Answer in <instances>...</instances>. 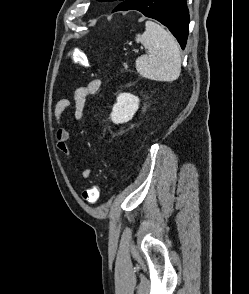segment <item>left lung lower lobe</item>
<instances>
[{
	"mask_svg": "<svg viewBox=\"0 0 249 294\" xmlns=\"http://www.w3.org/2000/svg\"><path fill=\"white\" fill-rule=\"evenodd\" d=\"M138 10L168 27L184 49L188 37L189 12L186 0H125L113 12Z\"/></svg>",
	"mask_w": 249,
	"mask_h": 294,
	"instance_id": "obj_1",
	"label": "left lung lower lobe"
}]
</instances>
